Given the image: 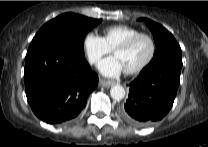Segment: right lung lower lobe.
Returning <instances> with one entry per match:
<instances>
[{
    "label": "right lung lower lobe",
    "instance_id": "98d812e1",
    "mask_svg": "<svg viewBox=\"0 0 208 147\" xmlns=\"http://www.w3.org/2000/svg\"><path fill=\"white\" fill-rule=\"evenodd\" d=\"M24 82L35 115L49 124L75 118L98 85V76L84 56L55 45L27 53Z\"/></svg>",
    "mask_w": 208,
    "mask_h": 147
}]
</instances>
